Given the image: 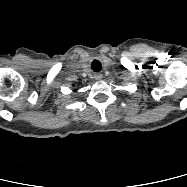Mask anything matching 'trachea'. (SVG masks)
Wrapping results in <instances>:
<instances>
[{"label": "trachea", "instance_id": "trachea-1", "mask_svg": "<svg viewBox=\"0 0 187 187\" xmlns=\"http://www.w3.org/2000/svg\"><path fill=\"white\" fill-rule=\"evenodd\" d=\"M101 68H102V66H101V63H100L99 61L94 60V61L92 62V69H93L95 72L100 71Z\"/></svg>", "mask_w": 187, "mask_h": 187}]
</instances>
